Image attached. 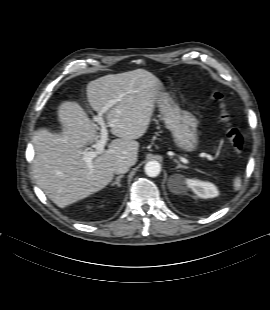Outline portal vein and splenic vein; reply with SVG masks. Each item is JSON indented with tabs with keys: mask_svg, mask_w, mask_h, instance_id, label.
<instances>
[{
	"mask_svg": "<svg viewBox=\"0 0 270 310\" xmlns=\"http://www.w3.org/2000/svg\"><path fill=\"white\" fill-rule=\"evenodd\" d=\"M108 108L109 106L103 107L99 111L98 115L93 117V120L101 126V132H100V139L95 145V151H87V152H84L82 155V158L87 163L89 169L93 168L92 160L104 152V147L108 141V129L107 128L114 126V124L105 123L103 119V114L108 110ZM201 156L207 158L210 161L214 160V158L207 153H202Z\"/></svg>",
	"mask_w": 270,
	"mask_h": 310,
	"instance_id": "portal-vein-and-splenic-vein-1",
	"label": "portal vein and splenic vein"
}]
</instances>
